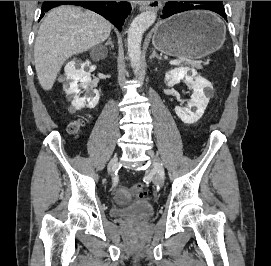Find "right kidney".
<instances>
[{
  "label": "right kidney",
  "instance_id": "right-kidney-1",
  "mask_svg": "<svg viewBox=\"0 0 271 266\" xmlns=\"http://www.w3.org/2000/svg\"><path fill=\"white\" fill-rule=\"evenodd\" d=\"M89 61H86L83 64H80V68H77L78 61L72 60L68 62L64 68L66 75V84L63 86L67 95H72L73 100L71 105L80 110L81 108H94L99 101V92L93 90L91 93H87L84 97H80V89L78 82H81L80 87L88 90L89 85L91 84V74L90 71L85 70L86 67H89Z\"/></svg>",
  "mask_w": 271,
  "mask_h": 266
}]
</instances>
